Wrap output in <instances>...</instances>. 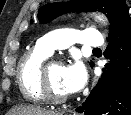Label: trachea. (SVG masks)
I'll use <instances>...</instances> for the list:
<instances>
[{"label": "trachea", "mask_w": 131, "mask_h": 115, "mask_svg": "<svg viewBox=\"0 0 131 115\" xmlns=\"http://www.w3.org/2000/svg\"><path fill=\"white\" fill-rule=\"evenodd\" d=\"M93 50H101L100 48H94Z\"/></svg>", "instance_id": "trachea-1"}]
</instances>
